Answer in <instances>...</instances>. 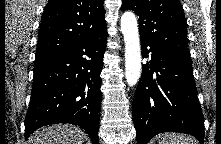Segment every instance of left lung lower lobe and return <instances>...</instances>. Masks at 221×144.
Masks as SVG:
<instances>
[{"instance_id":"0a47b994","label":"left lung lower lobe","mask_w":221,"mask_h":144,"mask_svg":"<svg viewBox=\"0 0 221 144\" xmlns=\"http://www.w3.org/2000/svg\"><path fill=\"white\" fill-rule=\"evenodd\" d=\"M141 47L143 57L151 53V60L143 65L132 103L137 144L168 131L193 135L203 144L204 118L190 56L144 40Z\"/></svg>"}]
</instances>
